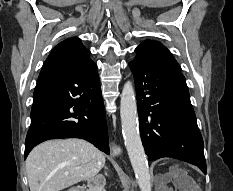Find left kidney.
<instances>
[{
    "label": "left kidney",
    "instance_id": "obj_1",
    "mask_svg": "<svg viewBox=\"0 0 233 191\" xmlns=\"http://www.w3.org/2000/svg\"><path fill=\"white\" fill-rule=\"evenodd\" d=\"M172 178L176 180V182H177V184H178L179 186H182V180L180 179L179 176H176V175H174V176H168V177H167V180H170V179H172ZM167 191H170V190L167 189ZM183 191H185V190H183Z\"/></svg>",
    "mask_w": 233,
    "mask_h": 191
}]
</instances>
